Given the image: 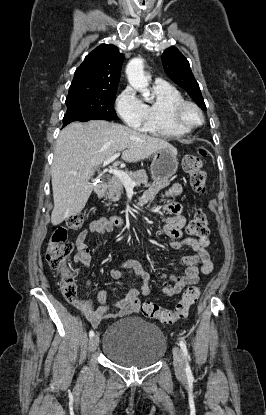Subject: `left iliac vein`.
<instances>
[{"instance_id": "4c4485c4", "label": "left iliac vein", "mask_w": 266, "mask_h": 415, "mask_svg": "<svg viewBox=\"0 0 266 415\" xmlns=\"http://www.w3.org/2000/svg\"><path fill=\"white\" fill-rule=\"evenodd\" d=\"M173 359L176 373L183 376L185 373V363L183 353L179 347L175 346L173 348Z\"/></svg>"}]
</instances>
